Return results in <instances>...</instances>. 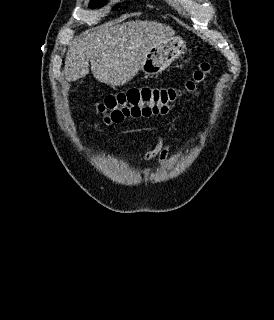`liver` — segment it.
<instances>
[{"label": "liver", "instance_id": "6515ba94", "mask_svg": "<svg viewBox=\"0 0 274 320\" xmlns=\"http://www.w3.org/2000/svg\"><path fill=\"white\" fill-rule=\"evenodd\" d=\"M174 30L158 22H125L117 26L103 24L86 30L71 42L65 58L64 74L68 82L84 78L90 70L102 84L123 86L138 74L150 50L164 44Z\"/></svg>", "mask_w": 274, "mask_h": 320}]
</instances>
